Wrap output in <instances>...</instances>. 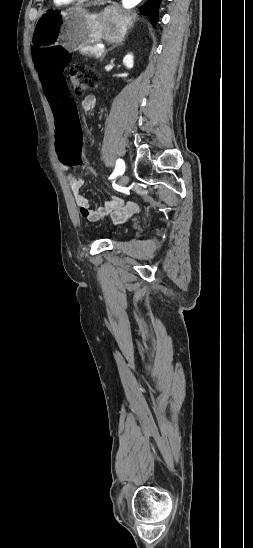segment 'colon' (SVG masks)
Returning a JSON list of instances; mask_svg holds the SVG:
<instances>
[{"label":"colon","instance_id":"5ec220e1","mask_svg":"<svg viewBox=\"0 0 253 548\" xmlns=\"http://www.w3.org/2000/svg\"><path fill=\"white\" fill-rule=\"evenodd\" d=\"M34 69L40 79V95L47 96V103L52 107V120L56 121L57 134L53 144L55 155L62 160V165L76 164L86 168L94 179H99L97 170L87 157L80 159L79 135L76 99L68 88L66 69L68 55L60 47L35 49ZM62 59V60H55ZM70 80L76 95L81 96L94 88L97 75L90 72L80 63L70 69Z\"/></svg>","mask_w":253,"mask_h":548}]
</instances>
